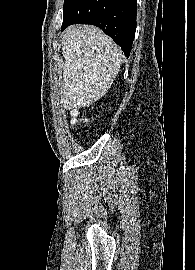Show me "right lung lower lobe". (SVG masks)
Masks as SVG:
<instances>
[{"label": "right lung lower lobe", "mask_w": 195, "mask_h": 270, "mask_svg": "<svg viewBox=\"0 0 195 270\" xmlns=\"http://www.w3.org/2000/svg\"><path fill=\"white\" fill-rule=\"evenodd\" d=\"M137 0H73L64 11L61 30L72 24H92L109 35L128 57L132 48Z\"/></svg>", "instance_id": "1"}]
</instances>
